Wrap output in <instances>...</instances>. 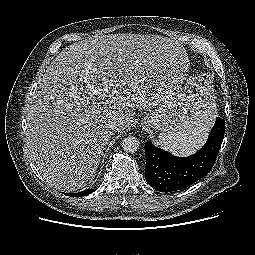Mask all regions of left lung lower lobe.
Listing matches in <instances>:
<instances>
[{
  "mask_svg": "<svg viewBox=\"0 0 255 255\" xmlns=\"http://www.w3.org/2000/svg\"><path fill=\"white\" fill-rule=\"evenodd\" d=\"M222 118H216L205 145L188 157H176L171 153L155 147L151 142L145 143L146 180L150 186L160 192L184 189L212 169L224 138Z\"/></svg>",
  "mask_w": 255,
  "mask_h": 255,
  "instance_id": "obj_1",
  "label": "left lung lower lobe"
}]
</instances>
